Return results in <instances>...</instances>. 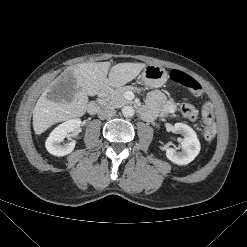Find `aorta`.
<instances>
[{
	"label": "aorta",
	"instance_id": "aorta-1",
	"mask_svg": "<svg viewBox=\"0 0 247 247\" xmlns=\"http://www.w3.org/2000/svg\"><path fill=\"white\" fill-rule=\"evenodd\" d=\"M135 113V110L132 106H124L122 108V114L124 117H132Z\"/></svg>",
	"mask_w": 247,
	"mask_h": 247
}]
</instances>
